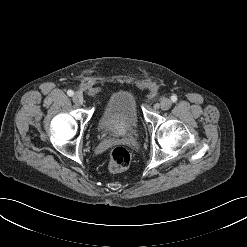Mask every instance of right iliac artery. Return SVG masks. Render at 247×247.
<instances>
[{
    "mask_svg": "<svg viewBox=\"0 0 247 247\" xmlns=\"http://www.w3.org/2000/svg\"><path fill=\"white\" fill-rule=\"evenodd\" d=\"M67 94H68L69 96H73L74 92H73L72 90H68V91H67Z\"/></svg>",
    "mask_w": 247,
    "mask_h": 247,
    "instance_id": "1",
    "label": "right iliac artery"
}]
</instances>
